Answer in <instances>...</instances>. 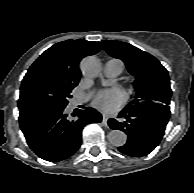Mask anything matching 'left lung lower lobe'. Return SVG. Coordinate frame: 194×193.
Here are the masks:
<instances>
[{
    "mask_svg": "<svg viewBox=\"0 0 194 193\" xmlns=\"http://www.w3.org/2000/svg\"><path fill=\"white\" fill-rule=\"evenodd\" d=\"M170 116L169 105L150 107L145 109H123L119 118L125 119L119 122L109 119L108 125L127 134L125 145L118 147L123 154L132 157L148 155L160 143Z\"/></svg>",
    "mask_w": 194,
    "mask_h": 193,
    "instance_id": "0a47b994",
    "label": "left lung lower lobe"
}]
</instances>
